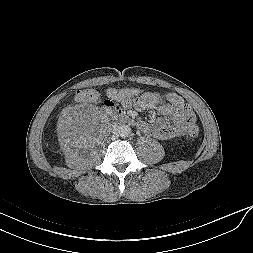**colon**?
Segmentation results:
<instances>
[{"instance_id": "colon-1", "label": "colon", "mask_w": 253, "mask_h": 253, "mask_svg": "<svg viewBox=\"0 0 253 253\" xmlns=\"http://www.w3.org/2000/svg\"><path fill=\"white\" fill-rule=\"evenodd\" d=\"M141 91L137 88H127L122 90L110 89L107 91V97L110 100H117L126 102L131 100V98L138 96ZM102 94V90L98 87L86 89L79 92V97L82 100L86 101H95L100 98ZM187 133L190 137H196L199 133V127L196 123H192L189 125Z\"/></svg>"}]
</instances>
